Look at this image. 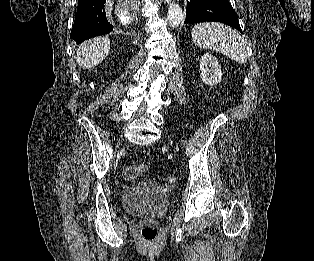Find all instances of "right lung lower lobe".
Returning a JSON list of instances; mask_svg holds the SVG:
<instances>
[{
	"instance_id": "1",
	"label": "right lung lower lobe",
	"mask_w": 314,
	"mask_h": 261,
	"mask_svg": "<svg viewBox=\"0 0 314 261\" xmlns=\"http://www.w3.org/2000/svg\"><path fill=\"white\" fill-rule=\"evenodd\" d=\"M105 3L106 0H79L70 35L77 44L113 30V25L106 18Z\"/></svg>"
}]
</instances>
